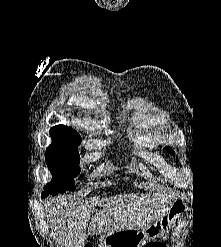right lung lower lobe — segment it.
<instances>
[{"instance_id":"98d812e1","label":"right lung lower lobe","mask_w":221,"mask_h":247,"mask_svg":"<svg viewBox=\"0 0 221 247\" xmlns=\"http://www.w3.org/2000/svg\"><path fill=\"white\" fill-rule=\"evenodd\" d=\"M48 195H49V193H44V192H42L41 198H42V199H43V198H46Z\"/></svg>"}]
</instances>
